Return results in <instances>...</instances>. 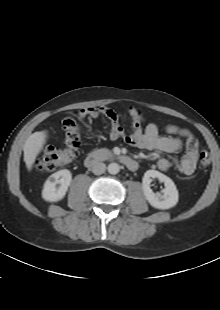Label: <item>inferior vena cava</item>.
I'll return each instance as SVG.
<instances>
[{"instance_id": "602c4592", "label": "inferior vena cava", "mask_w": 220, "mask_h": 310, "mask_svg": "<svg viewBox=\"0 0 220 310\" xmlns=\"http://www.w3.org/2000/svg\"><path fill=\"white\" fill-rule=\"evenodd\" d=\"M106 165L103 162H95L92 166V172L95 175H101L105 172Z\"/></svg>"}]
</instances>
